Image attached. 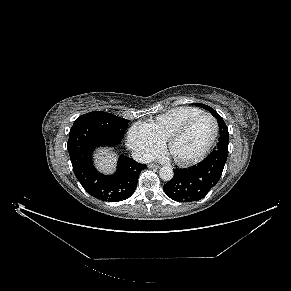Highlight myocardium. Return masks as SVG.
Masks as SVG:
<instances>
[{"mask_svg": "<svg viewBox=\"0 0 291 291\" xmlns=\"http://www.w3.org/2000/svg\"><path fill=\"white\" fill-rule=\"evenodd\" d=\"M203 117H207L209 119H211V121L213 122L214 125V131H213V135L212 138L210 140V142L208 143V145L204 148V150L199 153L197 156L187 159V160H180L177 158H173L174 162L176 164H178L179 166H190L193 164H196L198 162H200L201 160H203L211 151V149L213 148V146L215 145V142L217 140L218 137V131H219V127H218V122L215 119L214 116H212L209 113H200L198 115H195L189 119H187L184 123H182L178 128H176L173 132H171L167 138L164 140V148L166 151L169 152V148L172 145V143L177 140L179 137H181L185 131L198 119L203 118Z\"/></svg>", "mask_w": 291, "mask_h": 291, "instance_id": "obj_1", "label": "myocardium"}]
</instances>
